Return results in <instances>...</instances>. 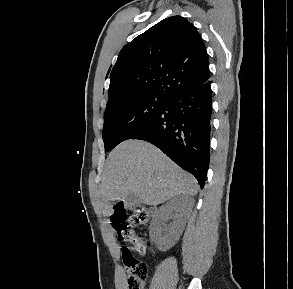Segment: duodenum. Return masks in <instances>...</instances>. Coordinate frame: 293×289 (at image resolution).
<instances>
[{
	"mask_svg": "<svg viewBox=\"0 0 293 289\" xmlns=\"http://www.w3.org/2000/svg\"><path fill=\"white\" fill-rule=\"evenodd\" d=\"M151 212H154V210H153V209H151Z\"/></svg>",
	"mask_w": 293,
	"mask_h": 289,
	"instance_id": "duodenum-1",
	"label": "duodenum"
}]
</instances>
